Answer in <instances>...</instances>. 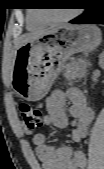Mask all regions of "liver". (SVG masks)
Returning a JSON list of instances; mask_svg holds the SVG:
<instances>
[{"instance_id":"liver-1","label":"liver","mask_w":104,"mask_h":169,"mask_svg":"<svg viewBox=\"0 0 104 169\" xmlns=\"http://www.w3.org/2000/svg\"><path fill=\"white\" fill-rule=\"evenodd\" d=\"M47 31H49V30L39 31V32L30 33V34H26V35L21 36L16 42V47H15L16 50L19 47H21L22 45L26 44L27 42L32 41V40L40 37L41 35L45 34Z\"/></svg>"}]
</instances>
